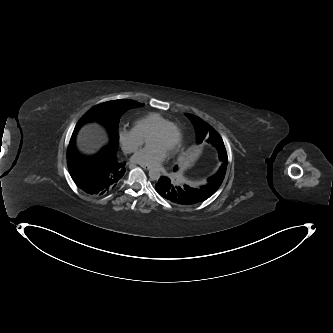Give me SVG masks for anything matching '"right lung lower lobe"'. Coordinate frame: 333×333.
<instances>
[{"label":"right lung lower lobe","mask_w":333,"mask_h":333,"mask_svg":"<svg viewBox=\"0 0 333 333\" xmlns=\"http://www.w3.org/2000/svg\"><path fill=\"white\" fill-rule=\"evenodd\" d=\"M73 133L67 152L70 175L76 185L89 195H103L111 192L119 184L125 173V164L117 159L115 150L105 149L99 156L84 158L74 146Z\"/></svg>","instance_id":"98d812e1"}]
</instances>
